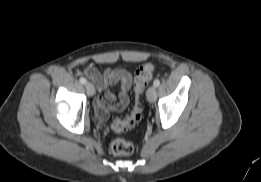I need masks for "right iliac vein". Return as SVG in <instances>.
<instances>
[{
    "mask_svg": "<svg viewBox=\"0 0 261 182\" xmlns=\"http://www.w3.org/2000/svg\"><path fill=\"white\" fill-rule=\"evenodd\" d=\"M85 88H86L87 94L89 96H93L95 94V87L93 86L92 83H89V82L86 83Z\"/></svg>",
    "mask_w": 261,
    "mask_h": 182,
    "instance_id": "right-iliac-vein-1",
    "label": "right iliac vein"
}]
</instances>
